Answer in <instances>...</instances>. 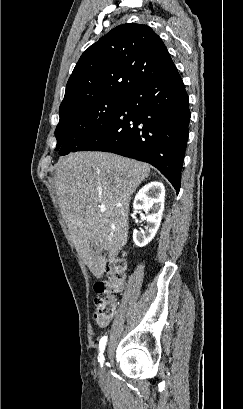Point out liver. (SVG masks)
<instances>
[{
  "mask_svg": "<svg viewBox=\"0 0 243 409\" xmlns=\"http://www.w3.org/2000/svg\"><path fill=\"white\" fill-rule=\"evenodd\" d=\"M149 173L148 164L107 152L70 153L58 160L54 183L61 214L95 277L103 276L107 254L126 245L131 196ZM91 244L106 254L95 256Z\"/></svg>",
  "mask_w": 243,
  "mask_h": 409,
  "instance_id": "obj_1",
  "label": "liver"
}]
</instances>
